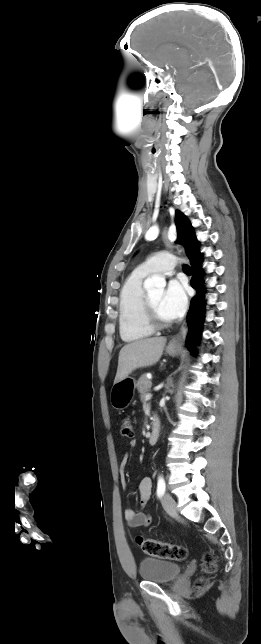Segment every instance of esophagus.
I'll return each instance as SVG.
<instances>
[{
	"label": "esophagus",
	"instance_id": "esophagus-1",
	"mask_svg": "<svg viewBox=\"0 0 261 644\" xmlns=\"http://www.w3.org/2000/svg\"><path fill=\"white\" fill-rule=\"evenodd\" d=\"M163 239H164V241H166V243H167V230H166V229L163 231ZM176 251H177V253H179V254H181V252H182V251H181V250H179L178 248L176 249ZM187 331H188V324H187V322H186V321H184V322H183V324H182V326H181V328H180V331H179V332L174 336V338L171 340V345H179V344H182V343H183V341L185 340L186 335H187Z\"/></svg>",
	"mask_w": 261,
	"mask_h": 644
}]
</instances>
